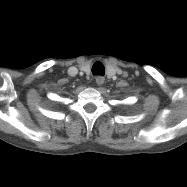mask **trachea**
<instances>
[{"label":"trachea","instance_id":"trachea-1","mask_svg":"<svg viewBox=\"0 0 187 187\" xmlns=\"http://www.w3.org/2000/svg\"><path fill=\"white\" fill-rule=\"evenodd\" d=\"M105 73V68L104 65L100 62L94 63L92 66V74L93 75H104Z\"/></svg>","mask_w":187,"mask_h":187}]
</instances>
